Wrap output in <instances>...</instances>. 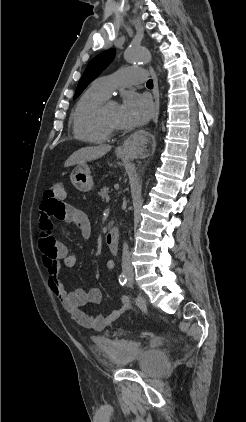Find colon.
I'll return each mask as SVG.
<instances>
[{
	"instance_id": "obj_1",
	"label": "colon",
	"mask_w": 246,
	"mask_h": 422,
	"mask_svg": "<svg viewBox=\"0 0 246 422\" xmlns=\"http://www.w3.org/2000/svg\"><path fill=\"white\" fill-rule=\"evenodd\" d=\"M66 197L65 185L61 181H55L44 192V203L50 210H55L63 204Z\"/></svg>"
}]
</instances>
